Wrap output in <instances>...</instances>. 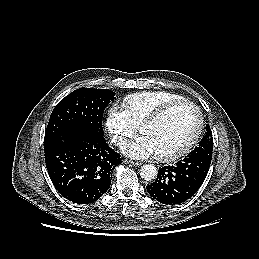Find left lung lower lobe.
Returning <instances> with one entry per match:
<instances>
[{"mask_svg":"<svg viewBox=\"0 0 259 259\" xmlns=\"http://www.w3.org/2000/svg\"><path fill=\"white\" fill-rule=\"evenodd\" d=\"M211 160L187 155L173 166L159 169L155 182L146 187L158 202L175 205L192 197L204 182Z\"/></svg>","mask_w":259,"mask_h":259,"instance_id":"obj_1","label":"left lung lower lobe"}]
</instances>
